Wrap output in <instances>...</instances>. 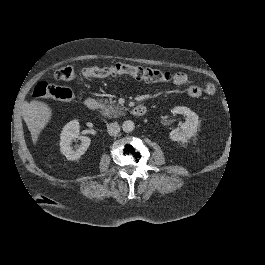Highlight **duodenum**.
Listing matches in <instances>:
<instances>
[{"mask_svg":"<svg viewBox=\"0 0 265 265\" xmlns=\"http://www.w3.org/2000/svg\"><path fill=\"white\" fill-rule=\"evenodd\" d=\"M84 104H85L86 108L91 110V111H95L98 108V101L92 97L85 99ZM146 111H147L146 106L143 104H139L133 108L132 114L134 116L139 117V116H143L146 113Z\"/></svg>","mask_w":265,"mask_h":265,"instance_id":"duodenum-1","label":"duodenum"}]
</instances>
